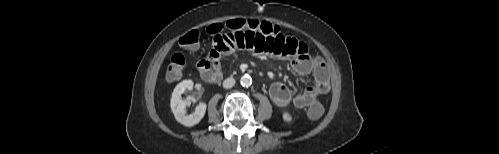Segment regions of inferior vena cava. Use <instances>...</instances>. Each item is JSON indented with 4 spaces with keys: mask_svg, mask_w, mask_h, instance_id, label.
<instances>
[{
    "mask_svg": "<svg viewBox=\"0 0 499 154\" xmlns=\"http://www.w3.org/2000/svg\"><path fill=\"white\" fill-rule=\"evenodd\" d=\"M235 84V80L233 78H227L223 81V87L228 89L232 88Z\"/></svg>",
    "mask_w": 499,
    "mask_h": 154,
    "instance_id": "1",
    "label": "inferior vena cava"
}]
</instances>
